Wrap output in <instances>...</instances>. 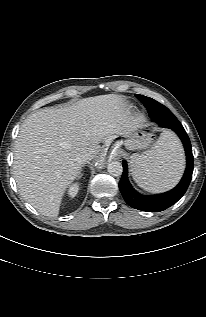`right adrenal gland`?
Here are the masks:
<instances>
[{"instance_id":"2a0ac1e0","label":"right adrenal gland","mask_w":206,"mask_h":317,"mask_svg":"<svg viewBox=\"0 0 206 317\" xmlns=\"http://www.w3.org/2000/svg\"><path fill=\"white\" fill-rule=\"evenodd\" d=\"M82 167H83V166H82ZM82 167L80 168V171H79V173H78V176H77L78 179H80V178L82 177Z\"/></svg>"}]
</instances>
